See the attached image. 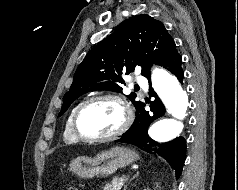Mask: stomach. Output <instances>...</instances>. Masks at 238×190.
Segmentation results:
<instances>
[{"instance_id":"obj_1","label":"stomach","mask_w":238,"mask_h":190,"mask_svg":"<svg viewBox=\"0 0 238 190\" xmlns=\"http://www.w3.org/2000/svg\"><path fill=\"white\" fill-rule=\"evenodd\" d=\"M139 160V155L125 147H113L102 151L94 158L77 157L70 163V170L83 179L93 177H107L114 174L119 168L128 166Z\"/></svg>"}]
</instances>
